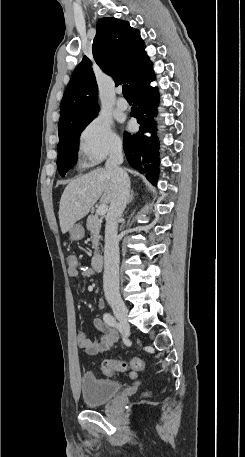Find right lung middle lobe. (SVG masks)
I'll return each instance as SVG.
<instances>
[{
  "mask_svg": "<svg viewBox=\"0 0 245 457\" xmlns=\"http://www.w3.org/2000/svg\"><path fill=\"white\" fill-rule=\"evenodd\" d=\"M96 115L97 113L90 117L67 123L59 128L57 166L61 176H65V173L76 163L80 133Z\"/></svg>",
  "mask_w": 245,
  "mask_h": 457,
  "instance_id": "1",
  "label": "right lung middle lobe"
}]
</instances>
